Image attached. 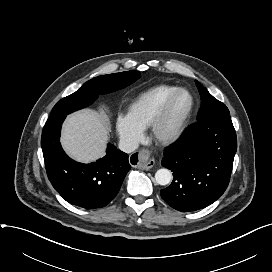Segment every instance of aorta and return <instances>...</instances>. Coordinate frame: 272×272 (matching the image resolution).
Masks as SVG:
<instances>
[{
  "instance_id": "1",
  "label": "aorta",
  "mask_w": 272,
  "mask_h": 272,
  "mask_svg": "<svg viewBox=\"0 0 272 272\" xmlns=\"http://www.w3.org/2000/svg\"><path fill=\"white\" fill-rule=\"evenodd\" d=\"M172 173L168 169H159L155 173V180L159 185H167L171 182Z\"/></svg>"
}]
</instances>
